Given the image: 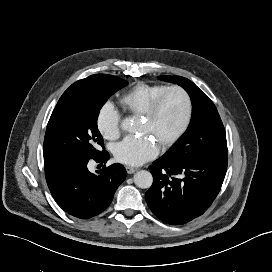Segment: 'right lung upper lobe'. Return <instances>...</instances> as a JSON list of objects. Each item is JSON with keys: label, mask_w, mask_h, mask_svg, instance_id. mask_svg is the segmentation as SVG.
<instances>
[{"label": "right lung upper lobe", "mask_w": 272, "mask_h": 272, "mask_svg": "<svg viewBox=\"0 0 272 272\" xmlns=\"http://www.w3.org/2000/svg\"><path fill=\"white\" fill-rule=\"evenodd\" d=\"M91 76H93V75H91ZM91 76H89V77H87V78H85V79H82V80H79V81L75 82V83L72 84L65 92L72 91V90H74V89H76V88L82 86L83 84H85V82H86Z\"/></svg>", "instance_id": "obj_1"}]
</instances>
